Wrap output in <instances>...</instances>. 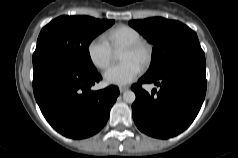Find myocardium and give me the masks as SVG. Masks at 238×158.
Here are the masks:
<instances>
[{
  "mask_svg": "<svg viewBox=\"0 0 238 158\" xmlns=\"http://www.w3.org/2000/svg\"><path fill=\"white\" fill-rule=\"evenodd\" d=\"M123 50H128L132 52H142L143 57L141 61V67L146 68L150 65L153 57V48L150 43L144 40H139L130 43L123 47Z\"/></svg>",
  "mask_w": 238,
  "mask_h": 158,
  "instance_id": "1",
  "label": "myocardium"
}]
</instances>
